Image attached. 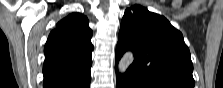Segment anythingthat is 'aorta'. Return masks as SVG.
<instances>
[{"label":"aorta","mask_w":223,"mask_h":88,"mask_svg":"<svg viewBox=\"0 0 223 88\" xmlns=\"http://www.w3.org/2000/svg\"><path fill=\"white\" fill-rule=\"evenodd\" d=\"M133 54L131 52H127L123 55L121 60L118 63V71L120 74H124L125 71L128 69V67L131 65L133 62ZM123 80V78H121Z\"/></svg>","instance_id":"obj_1"}]
</instances>
